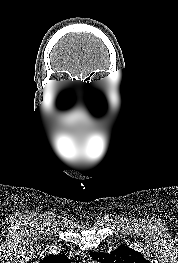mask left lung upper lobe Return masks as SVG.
Here are the masks:
<instances>
[{"label":"left lung upper lobe","instance_id":"left-lung-upper-lobe-1","mask_svg":"<svg viewBox=\"0 0 178 263\" xmlns=\"http://www.w3.org/2000/svg\"><path fill=\"white\" fill-rule=\"evenodd\" d=\"M90 257L100 263H150L140 252L121 245L111 253L89 252Z\"/></svg>","mask_w":178,"mask_h":263}]
</instances>
